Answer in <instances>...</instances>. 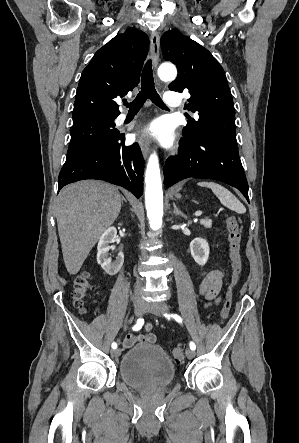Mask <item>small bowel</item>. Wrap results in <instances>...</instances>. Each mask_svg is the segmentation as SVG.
<instances>
[{
  "label": "small bowel",
  "mask_w": 299,
  "mask_h": 443,
  "mask_svg": "<svg viewBox=\"0 0 299 443\" xmlns=\"http://www.w3.org/2000/svg\"><path fill=\"white\" fill-rule=\"evenodd\" d=\"M200 294L208 303H218L220 300V292L223 286L224 277L222 272L218 270L203 271L199 275ZM145 333L143 334H127L122 339V345L130 348L136 343L154 344L157 341L156 335L152 332L154 325L148 323L145 325Z\"/></svg>",
  "instance_id": "obj_1"
}]
</instances>
